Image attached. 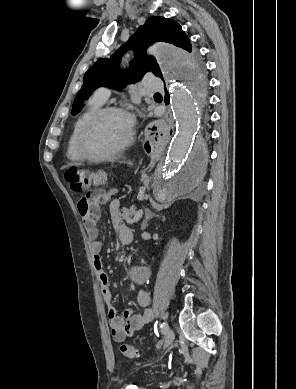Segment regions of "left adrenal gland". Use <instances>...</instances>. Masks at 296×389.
Here are the masks:
<instances>
[{
	"mask_svg": "<svg viewBox=\"0 0 296 389\" xmlns=\"http://www.w3.org/2000/svg\"><path fill=\"white\" fill-rule=\"evenodd\" d=\"M155 216L154 213H152L149 209L145 210V219L141 225V230L144 231L148 226V221L152 219Z\"/></svg>",
	"mask_w": 296,
	"mask_h": 389,
	"instance_id": "obj_1",
	"label": "left adrenal gland"
}]
</instances>
